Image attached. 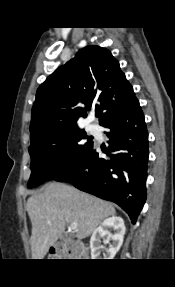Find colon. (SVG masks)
I'll use <instances>...</instances> for the list:
<instances>
[{"mask_svg":"<svg viewBox=\"0 0 175 287\" xmlns=\"http://www.w3.org/2000/svg\"><path fill=\"white\" fill-rule=\"evenodd\" d=\"M71 251H73V252H75L77 254H80L82 252V247L80 245H78V244H75V245H73L71 247ZM50 254L53 257L58 256V253H57V251L55 249L51 250Z\"/></svg>","mask_w":175,"mask_h":287,"instance_id":"1","label":"colon"}]
</instances>
